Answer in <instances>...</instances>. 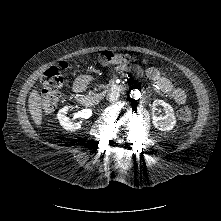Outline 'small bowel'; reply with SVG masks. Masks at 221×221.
Segmentation results:
<instances>
[{
    "instance_id": "1",
    "label": "small bowel",
    "mask_w": 221,
    "mask_h": 221,
    "mask_svg": "<svg viewBox=\"0 0 221 221\" xmlns=\"http://www.w3.org/2000/svg\"><path fill=\"white\" fill-rule=\"evenodd\" d=\"M147 74L151 78L150 83L148 84L150 88L163 92V93H168L170 94L175 100L183 96V92L175 89L173 85L164 77L159 76L157 73H153L150 71H147ZM84 79H80L77 81L75 85L76 91H82L84 88Z\"/></svg>"
}]
</instances>
